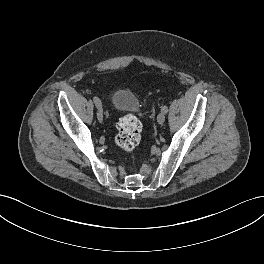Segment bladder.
Here are the masks:
<instances>
[{
  "label": "bladder",
  "mask_w": 264,
  "mask_h": 264,
  "mask_svg": "<svg viewBox=\"0 0 264 264\" xmlns=\"http://www.w3.org/2000/svg\"><path fill=\"white\" fill-rule=\"evenodd\" d=\"M111 102L114 109L118 112H132L140 107L138 97L126 88L116 89L112 94Z\"/></svg>",
  "instance_id": "obj_1"
}]
</instances>
